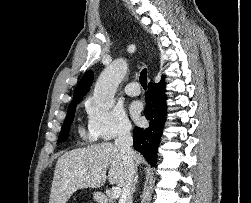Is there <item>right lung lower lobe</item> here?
I'll list each match as a JSON object with an SVG mask.
<instances>
[{"mask_svg": "<svg viewBox=\"0 0 251 203\" xmlns=\"http://www.w3.org/2000/svg\"><path fill=\"white\" fill-rule=\"evenodd\" d=\"M144 114L149 120L147 128L133 129V146L151 165L156 164L157 148L166 120V95L164 77L159 83H149Z\"/></svg>", "mask_w": 251, "mask_h": 203, "instance_id": "1", "label": "right lung lower lobe"}]
</instances>
